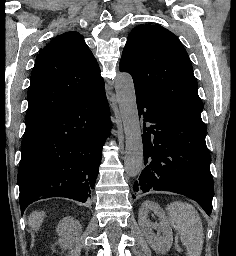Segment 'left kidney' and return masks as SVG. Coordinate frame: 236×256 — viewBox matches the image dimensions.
<instances>
[{
	"label": "left kidney",
	"instance_id": "5707ae66",
	"mask_svg": "<svg viewBox=\"0 0 236 256\" xmlns=\"http://www.w3.org/2000/svg\"><path fill=\"white\" fill-rule=\"evenodd\" d=\"M149 210H152L155 216H159L160 224H153V222L148 220L147 216ZM138 222L152 250H155L158 254H166V252H169L173 242V234L168 218L160 206H157L155 202H150V200L143 202L139 208ZM152 228L157 230V232H162V236L152 234Z\"/></svg>",
	"mask_w": 236,
	"mask_h": 256
}]
</instances>
